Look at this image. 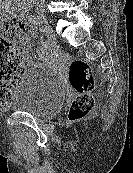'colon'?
Listing matches in <instances>:
<instances>
[{
  "mask_svg": "<svg viewBox=\"0 0 133 173\" xmlns=\"http://www.w3.org/2000/svg\"><path fill=\"white\" fill-rule=\"evenodd\" d=\"M30 30L25 20L5 16L0 20V106L8 103L22 74V53L16 43ZM71 87L77 93L72 101L68 119L77 121L87 117L93 109L94 100L91 92L95 81L90 66L83 60L73 61L68 70Z\"/></svg>",
  "mask_w": 133,
  "mask_h": 173,
  "instance_id": "obj_1",
  "label": "colon"
}]
</instances>
